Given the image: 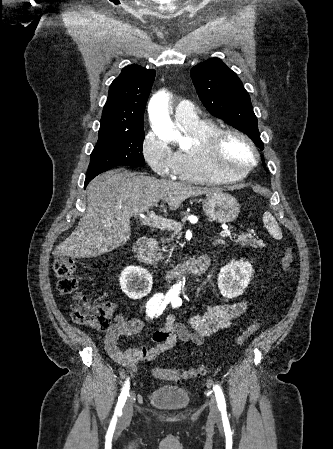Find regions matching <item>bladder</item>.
Wrapping results in <instances>:
<instances>
[{
    "instance_id": "bladder-1",
    "label": "bladder",
    "mask_w": 333,
    "mask_h": 449,
    "mask_svg": "<svg viewBox=\"0 0 333 449\" xmlns=\"http://www.w3.org/2000/svg\"><path fill=\"white\" fill-rule=\"evenodd\" d=\"M151 405L163 410H178L188 406L189 393L180 387L162 385L154 388L148 395Z\"/></svg>"
}]
</instances>
